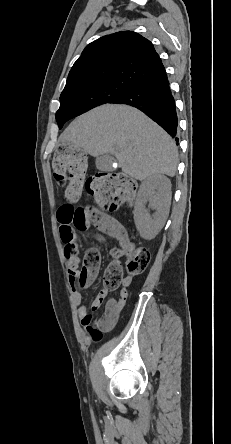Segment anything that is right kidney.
<instances>
[{"mask_svg": "<svg viewBox=\"0 0 231 444\" xmlns=\"http://www.w3.org/2000/svg\"><path fill=\"white\" fill-rule=\"evenodd\" d=\"M149 209L155 210L151 216ZM171 203V182L164 175H154L140 185L134 207V221L140 236L154 238L163 228Z\"/></svg>", "mask_w": 231, "mask_h": 444, "instance_id": "obj_1", "label": "right kidney"}]
</instances>
